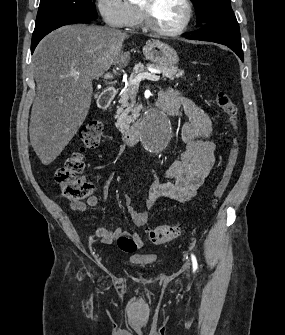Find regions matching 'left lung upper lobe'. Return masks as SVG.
<instances>
[{
    "instance_id": "5c2ea615",
    "label": "left lung upper lobe",
    "mask_w": 285,
    "mask_h": 335,
    "mask_svg": "<svg viewBox=\"0 0 285 335\" xmlns=\"http://www.w3.org/2000/svg\"><path fill=\"white\" fill-rule=\"evenodd\" d=\"M195 5L197 21L206 23L217 17H234L230 0H191Z\"/></svg>"
}]
</instances>
